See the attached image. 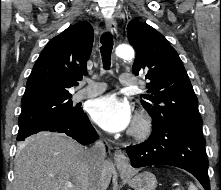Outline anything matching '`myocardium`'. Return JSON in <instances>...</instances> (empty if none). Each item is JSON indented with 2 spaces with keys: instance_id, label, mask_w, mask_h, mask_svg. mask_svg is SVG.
<instances>
[{
  "instance_id": "obj_1",
  "label": "myocardium",
  "mask_w": 221,
  "mask_h": 190,
  "mask_svg": "<svg viewBox=\"0 0 221 190\" xmlns=\"http://www.w3.org/2000/svg\"><path fill=\"white\" fill-rule=\"evenodd\" d=\"M152 126L150 116L145 112H140L134 120L130 130V136L135 140H143L151 134Z\"/></svg>"
}]
</instances>
